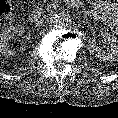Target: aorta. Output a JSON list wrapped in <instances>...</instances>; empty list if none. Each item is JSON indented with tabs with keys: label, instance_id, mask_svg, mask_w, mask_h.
Segmentation results:
<instances>
[{
	"label": "aorta",
	"instance_id": "aorta-1",
	"mask_svg": "<svg viewBox=\"0 0 118 118\" xmlns=\"http://www.w3.org/2000/svg\"><path fill=\"white\" fill-rule=\"evenodd\" d=\"M50 22L54 27L62 28L71 24L72 17L68 13H58L50 17Z\"/></svg>",
	"mask_w": 118,
	"mask_h": 118
}]
</instances>
